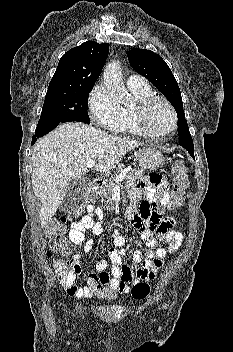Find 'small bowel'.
Wrapping results in <instances>:
<instances>
[{"label":"small bowel","mask_w":233,"mask_h":352,"mask_svg":"<svg viewBox=\"0 0 233 352\" xmlns=\"http://www.w3.org/2000/svg\"><path fill=\"white\" fill-rule=\"evenodd\" d=\"M129 196L131 204L127 215L132 224L139 230L142 240L150 249L146 252L136 250L133 253V262L138 265L130 268L122 263L124 255L125 237L119 230L113 232V243L115 248L109 252V259L112 263L111 273L107 285L116 288L121 293H127L131 284L142 282L151 271L156 272L163 267V260L168 254L176 252L182 244L183 236L180 232L173 230L174 220L163 218L161 206L169 201L168 184L164 178L156 173L148 174L138 183L129 185ZM141 195H143L141 199ZM140 202V210L135 209L137 202ZM97 216L98 219L94 217ZM92 230L96 235L104 232L101 208L87 207L86 214L81 220L74 221L69 230V239L77 247H82L85 253H89L94 246L93 240L85 241V231ZM168 241V248L158 247L159 242ZM81 255L72 257L71 275L60 280L68 295L76 298H91L92 293L86 286L76 285V279L81 274ZM108 263L100 260L96 263L97 272L109 276L106 272Z\"/></svg>","instance_id":"c3829d8e"}]
</instances>
